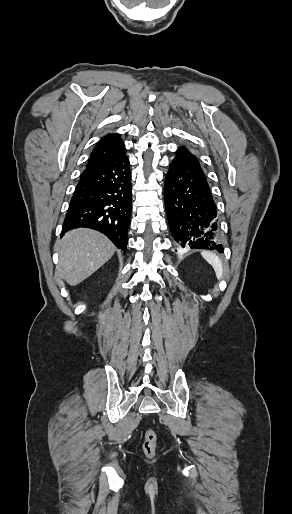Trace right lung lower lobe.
<instances>
[{"label": "right lung lower lobe", "instance_id": "1", "mask_svg": "<svg viewBox=\"0 0 292 514\" xmlns=\"http://www.w3.org/2000/svg\"><path fill=\"white\" fill-rule=\"evenodd\" d=\"M131 171L124 155L102 164H87L67 211L62 235L86 227L105 234L126 250L132 207Z\"/></svg>", "mask_w": 292, "mask_h": 514}]
</instances>
